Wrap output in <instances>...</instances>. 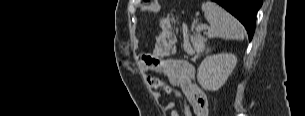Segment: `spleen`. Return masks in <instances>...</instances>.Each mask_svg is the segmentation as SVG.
Listing matches in <instances>:
<instances>
[{
    "label": "spleen",
    "mask_w": 305,
    "mask_h": 116,
    "mask_svg": "<svg viewBox=\"0 0 305 116\" xmlns=\"http://www.w3.org/2000/svg\"><path fill=\"white\" fill-rule=\"evenodd\" d=\"M205 18L210 24L206 34L209 38L244 39V28L230 13L214 2L202 4Z\"/></svg>",
    "instance_id": "obj_1"
}]
</instances>
